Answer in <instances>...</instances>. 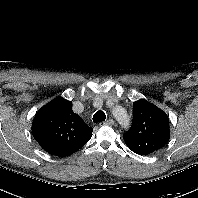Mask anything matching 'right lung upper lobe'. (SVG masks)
Listing matches in <instances>:
<instances>
[{"mask_svg":"<svg viewBox=\"0 0 198 198\" xmlns=\"http://www.w3.org/2000/svg\"><path fill=\"white\" fill-rule=\"evenodd\" d=\"M93 129L73 112L72 102L58 97L43 106L35 115L32 134L49 154L65 157L83 147Z\"/></svg>","mask_w":198,"mask_h":198,"instance_id":"right-lung-upper-lobe-1","label":"right lung upper lobe"}]
</instances>
